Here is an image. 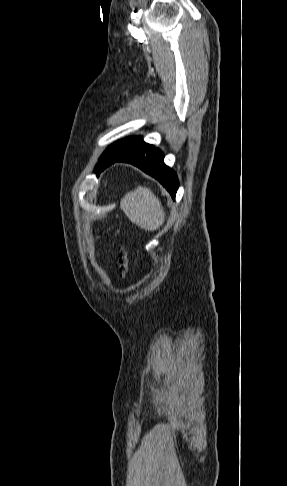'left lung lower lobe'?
<instances>
[{"label":"left lung lower lobe","mask_w":287,"mask_h":486,"mask_svg":"<svg viewBox=\"0 0 287 486\" xmlns=\"http://www.w3.org/2000/svg\"><path fill=\"white\" fill-rule=\"evenodd\" d=\"M163 159L164 155L159 149L145 143L136 151L106 160L101 165L97 175L112 163H131L156 178L169 191L171 196L175 198L178 189V179L175 172L164 164Z\"/></svg>","instance_id":"0a47b994"}]
</instances>
